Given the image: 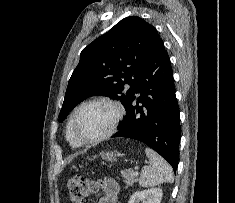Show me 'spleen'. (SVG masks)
Instances as JSON below:
<instances>
[{
    "label": "spleen",
    "instance_id": "obj_1",
    "mask_svg": "<svg viewBox=\"0 0 235 203\" xmlns=\"http://www.w3.org/2000/svg\"><path fill=\"white\" fill-rule=\"evenodd\" d=\"M150 165L141 170L139 184L142 187H153L161 183H172L174 181L171 166L156 152L150 148L145 149Z\"/></svg>",
    "mask_w": 235,
    "mask_h": 203
}]
</instances>
